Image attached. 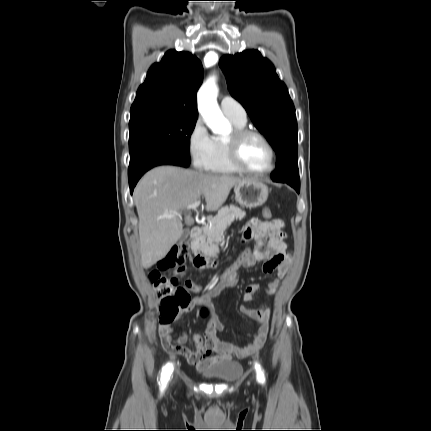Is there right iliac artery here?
Returning a JSON list of instances; mask_svg holds the SVG:
<instances>
[{
	"label": "right iliac artery",
	"mask_w": 431,
	"mask_h": 431,
	"mask_svg": "<svg viewBox=\"0 0 431 431\" xmlns=\"http://www.w3.org/2000/svg\"><path fill=\"white\" fill-rule=\"evenodd\" d=\"M173 372V364L167 363L163 368L161 372V390L163 391L166 386L167 382L170 380V376Z\"/></svg>",
	"instance_id": "right-iliac-artery-1"
}]
</instances>
